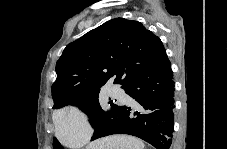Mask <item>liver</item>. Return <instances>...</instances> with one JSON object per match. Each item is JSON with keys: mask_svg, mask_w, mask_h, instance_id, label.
<instances>
[{"mask_svg": "<svg viewBox=\"0 0 227 149\" xmlns=\"http://www.w3.org/2000/svg\"><path fill=\"white\" fill-rule=\"evenodd\" d=\"M144 147V143L136 137L112 135L90 143L86 149H144Z\"/></svg>", "mask_w": 227, "mask_h": 149, "instance_id": "liver-1", "label": "liver"}]
</instances>
